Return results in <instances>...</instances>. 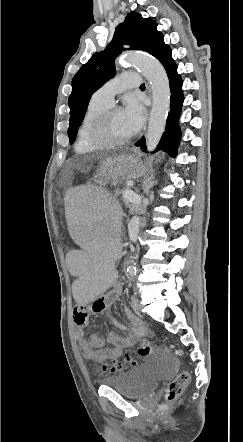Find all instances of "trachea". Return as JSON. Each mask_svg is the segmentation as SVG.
<instances>
[{
	"mask_svg": "<svg viewBox=\"0 0 243 442\" xmlns=\"http://www.w3.org/2000/svg\"><path fill=\"white\" fill-rule=\"evenodd\" d=\"M144 87H145V84H141L140 88H144Z\"/></svg>",
	"mask_w": 243,
	"mask_h": 442,
	"instance_id": "obj_1",
	"label": "trachea"
}]
</instances>
